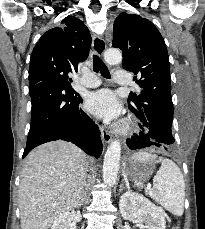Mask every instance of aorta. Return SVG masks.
Wrapping results in <instances>:
<instances>
[{
    "mask_svg": "<svg viewBox=\"0 0 205 229\" xmlns=\"http://www.w3.org/2000/svg\"><path fill=\"white\" fill-rule=\"evenodd\" d=\"M104 59L108 64H118L122 61V53L118 49H108L104 53ZM120 154V141L113 140L106 150L103 162V182L108 186H113L117 180Z\"/></svg>",
    "mask_w": 205,
    "mask_h": 229,
    "instance_id": "1",
    "label": "aorta"
}]
</instances>
